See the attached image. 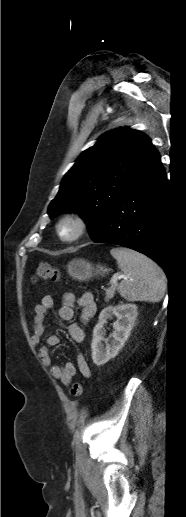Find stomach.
<instances>
[{"instance_id":"0dacf381","label":"stomach","mask_w":186,"mask_h":517,"mask_svg":"<svg viewBox=\"0 0 186 517\" xmlns=\"http://www.w3.org/2000/svg\"><path fill=\"white\" fill-rule=\"evenodd\" d=\"M69 275L78 281H86L93 276H103L108 269L101 265H93L84 259H74L67 265Z\"/></svg>"}]
</instances>
